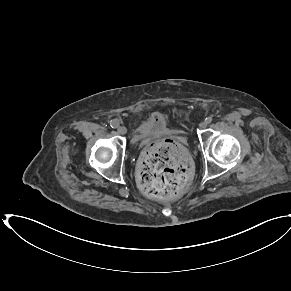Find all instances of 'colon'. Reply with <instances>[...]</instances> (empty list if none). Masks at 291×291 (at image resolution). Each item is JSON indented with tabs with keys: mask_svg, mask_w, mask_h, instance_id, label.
I'll use <instances>...</instances> for the list:
<instances>
[{
	"mask_svg": "<svg viewBox=\"0 0 291 291\" xmlns=\"http://www.w3.org/2000/svg\"><path fill=\"white\" fill-rule=\"evenodd\" d=\"M190 181V165L174 141L151 144L143 153L138 173L141 189L152 197L167 198L182 192Z\"/></svg>",
	"mask_w": 291,
	"mask_h": 291,
	"instance_id": "colon-1",
	"label": "colon"
}]
</instances>
